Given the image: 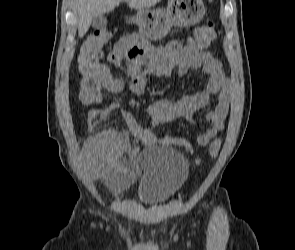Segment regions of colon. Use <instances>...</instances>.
I'll list each match as a JSON object with an SVG mask.
<instances>
[{"label": "colon", "mask_w": 295, "mask_h": 250, "mask_svg": "<svg viewBox=\"0 0 295 250\" xmlns=\"http://www.w3.org/2000/svg\"><path fill=\"white\" fill-rule=\"evenodd\" d=\"M112 34L107 29L96 30L82 45L79 56V68L81 71L90 72L93 69L94 56L106 44ZM195 42L199 46H207L216 38V29L213 21L209 20L198 27L194 34ZM104 109H92L87 113V125L90 129H94L107 116ZM221 141L213 140L208 148V155L216 157L220 151Z\"/></svg>", "instance_id": "5ec220e1"}]
</instances>
